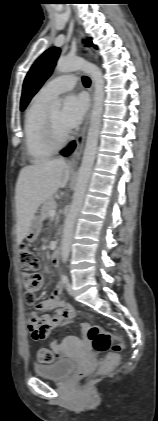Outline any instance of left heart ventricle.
I'll list each match as a JSON object with an SVG mask.
<instances>
[{"instance_id":"obj_1","label":"left heart ventricle","mask_w":158,"mask_h":421,"mask_svg":"<svg viewBox=\"0 0 158 421\" xmlns=\"http://www.w3.org/2000/svg\"><path fill=\"white\" fill-rule=\"evenodd\" d=\"M49 114H50L51 120L54 124L57 134L62 136L65 133H67L66 129L61 124V111L55 110V111L49 112Z\"/></svg>"}]
</instances>
